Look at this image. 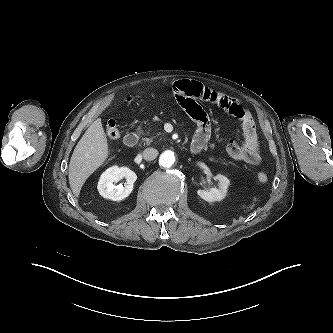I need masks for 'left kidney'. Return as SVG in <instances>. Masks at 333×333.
<instances>
[{"label":"left kidney","instance_id":"1","mask_svg":"<svg viewBox=\"0 0 333 333\" xmlns=\"http://www.w3.org/2000/svg\"><path fill=\"white\" fill-rule=\"evenodd\" d=\"M215 180L218 181V188H211L210 190H198V195L207 202L222 201L227 193V188L230 181L227 177L221 174L215 176Z\"/></svg>","mask_w":333,"mask_h":333}]
</instances>
